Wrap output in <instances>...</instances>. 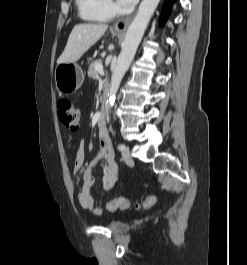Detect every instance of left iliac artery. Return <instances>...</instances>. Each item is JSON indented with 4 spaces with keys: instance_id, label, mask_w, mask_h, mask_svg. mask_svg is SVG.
Segmentation results:
<instances>
[{
    "instance_id": "1",
    "label": "left iliac artery",
    "mask_w": 247,
    "mask_h": 265,
    "mask_svg": "<svg viewBox=\"0 0 247 265\" xmlns=\"http://www.w3.org/2000/svg\"><path fill=\"white\" fill-rule=\"evenodd\" d=\"M125 148H126V147H125L124 144H119V145H118V149H119L120 151H123Z\"/></svg>"
}]
</instances>
